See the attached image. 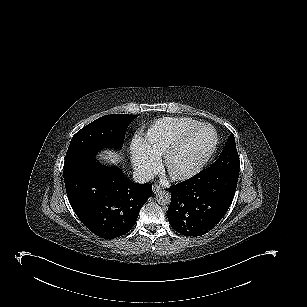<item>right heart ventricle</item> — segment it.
Instances as JSON below:
<instances>
[{
  "label": "right heart ventricle",
  "instance_id": "1",
  "mask_svg": "<svg viewBox=\"0 0 307 307\" xmlns=\"http://www.w3.org/2000/svg\"><path fill=\"white\" fill-rule=\"evenodd\" d=\"M189 125L190 121H187L186 119L161 120V122H158V124L152 130L150 135V141H152L151 142L152 144L156 143L158 145L157 148H159V150L157 151L164 152L166 151V148L170 149L171 147H173L172 145H174V142L177 141L178 138H180V136L183 135L182 133L185 134L187 130H189L188 129ZM158 142L160 144H158ZM156 144H154V146Z\"/></svg>",
  "mask_w": 307,
  "mask_h": 307
}]
</instances>
